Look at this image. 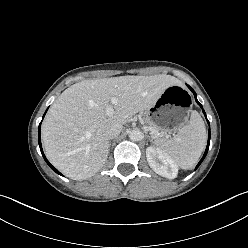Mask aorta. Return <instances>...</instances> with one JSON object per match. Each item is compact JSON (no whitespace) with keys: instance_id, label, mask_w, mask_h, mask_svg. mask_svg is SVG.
I'll list each match as a JSON object with an SVG mask.
<instances>
[{"instance_id":"obj_1","label":"aorta","mask_w":248,"mask_h":248,"mask_svg":"<svg viewBox=\"0 0 248 248\" xmlns=\"http://www.w3.org/2000/svg\"><path fill=\"white\" fill-rule=\"evenodd\" d=\"M129 138L131 141H139L142 138V132L139 129H133L129 132Z\"/></svg>"}]
</instances>
